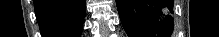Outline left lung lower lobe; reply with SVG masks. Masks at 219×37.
Returning <instances> with one entry per match:
<instances>
[{"mask_svg": "<svg viewBox=\"0 0 219 37\" xmlns=\"http://www.w3.org/2000/svg\"><path fill=\"white\" fill-rule=\"evenodd\" d=\"M129 37H171L173 0H116Z\"/></svg>", "mask_w": 219, "mask_h": 37, "instance_id": "0a47b994", "label": "left lung lower lobe"}]
</instances>
